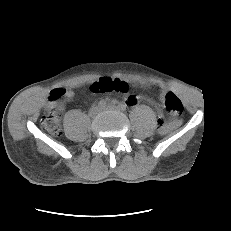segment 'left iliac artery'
Wrapping results in <instances>:
<instances>
[{
	"mask_svg": "<svg viewBox=\"0 0 231 231\" xmlns=\"http://www.w3.org/2000/svg\"><path fill=\"white\" fill-rule=\"evenodd\" d=\"M118 108H119L120 110H122V111H125L126 108H127V105L124 104V103H120V104H118Z\"/></svg>",
	"mask_w": 231,
	"mask_h": 231,
	"instance_id": "44dca946",
	"label": "left iliac artery"
}]
</instances>
